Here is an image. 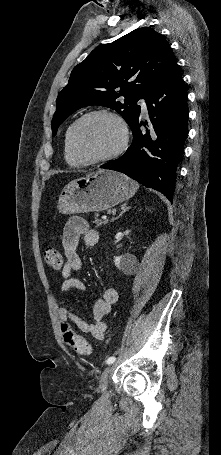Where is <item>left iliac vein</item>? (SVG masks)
I'll list each match as a JSON object with an SVG mask.
<instances>
[{
    "instance_id": "4c4485c4",
    "label": "left iliac vein",
    "mask_w": 221,
    "mask_h": 455,
    "mask_svg": "<svg viewBox=\"0 0 221 455\" xmlns=\"http://www.w3.org/2000/svg\"><path fill=\"white\" fill-rule=\"evenodd\" d=\"M112 368H113V365H109L103 370V372L100 376V379H99V390L100 391H104L107 388L108 377H109V374H110Z\"/></svg>"
}]
</instances>
